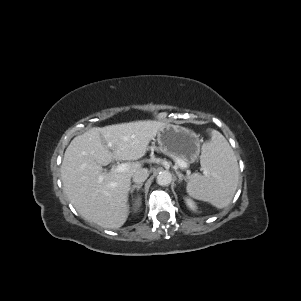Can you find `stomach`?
I'll list each match as a JSON object with an SVG mask.
<instances>
[{
	"instance_id": "stomach-1",
	"label": "stomach",
	"mask_w": 301,
	"mask_h": 301,
	"mask_svg": "<svg viewBox=\"0 0 301 301\" xmlns=\"http://www.w3.org/2000/svg\"><path fill=\"white\" fill-rule=\"evenodd\" d=\"M157 141L162 152L172 158L178 157L193 163L199 157V136L186 127L166 124L158 131Z\"/></svg>"
}]
</instances>
